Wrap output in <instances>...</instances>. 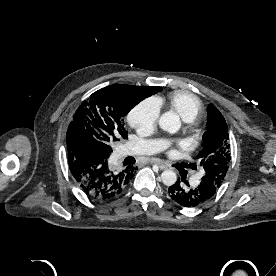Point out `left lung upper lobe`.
Wrapping results in <instances>:
<instances>
[{
	"instance_id": "5c2ea615",
	"label": "left lung upper lobe",
	"mask_w": 276,
	"mask_h": 276,
	"mask_svg": "<svg viewBox=\"0 0 276 276\" xmlns=\"http://www.w3.org/2000/svg\"><path fill=\"white\" fill-rule=\"evenodd\" d=\"M207 129L203 135L204 144L198 159L204 170L202 179L212 181L218 189L229 168L230 144L225 119L212 104L208 106Z\"/></svg>"
}]
</instances>
